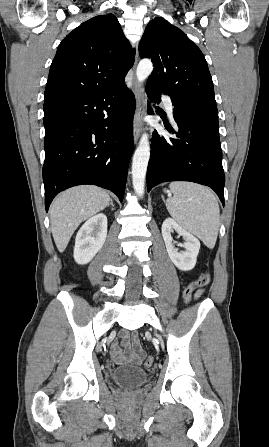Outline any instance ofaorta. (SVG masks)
I'll list each match as a JSON object with an SVG mask.
<instances>
[{"label": "aorta", "mask_w": 269, "mask_h": 447, "mask_svg": "<svg viewBox=\"0 0 269 447\" xmlns=\"http://www.w3.org/2000/svg\"><path fill=\"white\" fill-rule=\"evenodd\" d=\"M153 72V64L148 58L140 60L136 68V78L138 82H144ZM150 158V142L148 134H142L140 142L135 150L132 162V184L137 196H143L145 186V176Z\"/></svg>", "instance_id": "aorta-1"}]
</instances>
